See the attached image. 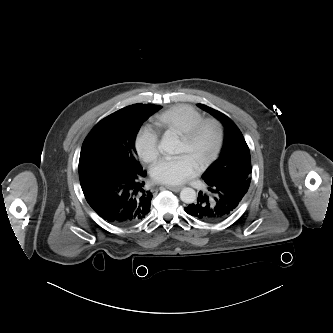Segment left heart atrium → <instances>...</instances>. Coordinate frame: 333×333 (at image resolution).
Instances as JSON below:
<instances>
[{
	"label": "left heart atrium",
	"mask_w": 333,
	"mask_h": 333,
	"mask_svg": "<svg viewBox=\"0 0 333 333\" xmlns=\"http://www.w3.org/2000/svg\"><path fill=\"white\" fill-rule=\"evenodd\" d=\"M198 170L197 165L186 154L163 158L151 169L154 181L166 185H178L193 177Z\"/></svg>",
	"instance_id": "39dd6f15"
}]
</instances>
